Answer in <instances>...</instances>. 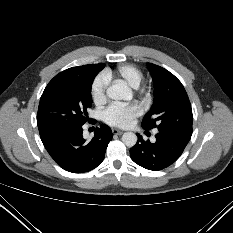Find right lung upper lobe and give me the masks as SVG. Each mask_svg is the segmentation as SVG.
I'll return each mask as SVG.
<instances>
[{"label":"right lung upper lobe","instance_id":"right-lung-upper-lobe-1","mask_svg":"<svg viewBox=\"0 0 233 233\" xmlns=\"http://www.w3.org/2000/svg\"><path fill=\"white\" fill-rule=\"evenodd\" d=\"M80 67V66H79ZM76 68H78V67H72V68H69V69H67V70H64L63 72H61V73H68V72H72V71H74V70H76Z\"/></svg>","mask_w":233,"mask_h":233}]
</instances>
